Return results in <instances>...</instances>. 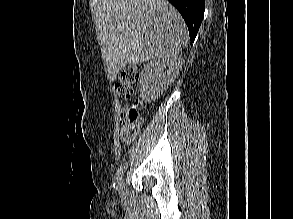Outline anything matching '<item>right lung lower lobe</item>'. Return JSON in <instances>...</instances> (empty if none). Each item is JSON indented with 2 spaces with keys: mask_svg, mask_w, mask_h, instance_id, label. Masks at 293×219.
Segmentation results:
<instances>
[{
  "mask_svg": "<svg viewBox=\"0 0 293 219\" xmlns=\"http://www.w3.org/2000/svg\"><path fill=\"white\" fill-rule=\"evenodd\" d=\"M172 3L184 18L188 30L190 39L193 42L200 24L203 19L205 10V0H168Z\"/></svg>",
  "mask_w": 293,
  "mask_h": 219,
  "instance_id": "1",
  "label": "right lung lower lobe"
}]
</instances>
